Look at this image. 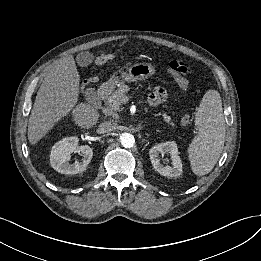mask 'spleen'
Here are the masks:
<instances>
[{
	"label": "spleen",
	"mask_w": 261,
	"mask_h": 261,
	"mask_svg": "<svg viewBox=\"0 0 261 261\" xmlns=\"http://www.w3.org/2000/svg\"><path fill=\"white\" fill-rule=\"evenodd\" d=\"M198 134L188 148L189 160L194 174H208L224 147L225 120L220 94L216 90H208L202 98L195 115Z\"/></svg>",
	"instance_id": "obj_1"
}]
</instances>
